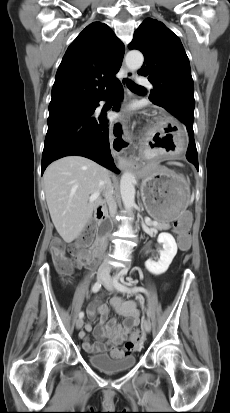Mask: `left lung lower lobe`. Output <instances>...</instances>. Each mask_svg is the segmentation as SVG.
<instances>
[{"label":"left lung lower lobe","mask_w":230,"mask_h":413,"mask_svg":"<svg viewBox=\"0 0 230 413\" xmlns=\"http://www.w3.org/2000/svg\"><path fill=\"white\" fill-rule=\"evenodd\" d=\"M187 132L189 134V145L186 153V158L189 162L194 164V166L198 170V155H197V149L194 141V132H193V127L188 126L187 127Z\"/></svg>","instance_id":"0a47b994"}]
</instances>
